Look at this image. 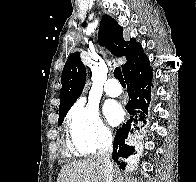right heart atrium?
I'll list each match as a JSON object with an SVG mask.
<instances>
[{
    "instance_id": "1",
    "label": "right heart atrium",
    "mask_w": 196,
    "mask_h": 182,
    "mask_svg": "<svg viewBox=\"0 0 196 182\" xmlns=\"http://www.w3.org/2000/svg\"><path fill=\"white\" fill-rule=\"evenodd\" d=\"M67 125L71 146L78 154L94 153L112 140L109 127L93 103L78 101L67 115Z\"/></svg>"
}]
</instances>
